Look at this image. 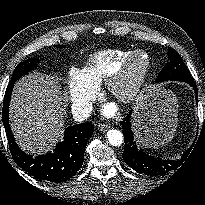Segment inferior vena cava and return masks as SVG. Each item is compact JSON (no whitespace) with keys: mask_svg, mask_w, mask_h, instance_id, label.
<instances>
[{"mask_svg":"<svg viewBox=\"0 0 205 205\" xmlns=\"http://www.w3.org/2000/svg\"><path fill=\"white\" fill-rule=\"evenodd\" d=\"M92 110L93 106L89 101L76 103L72 106V115L75 121L82 122L90 116Z\"/></svg>","mask_w":205,"mask_h":205,"instance_id":"obj_1","label":"inferior vena cava"}]
</instances>
